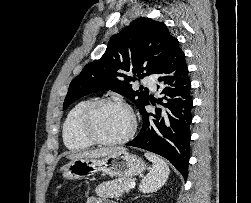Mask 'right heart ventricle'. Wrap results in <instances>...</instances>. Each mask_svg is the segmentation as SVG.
<instances>
[{
    "label": "right heart ventricle",
    "instance_id": "right-heart-ventricle-1",
    "mask_svg": "<svg viewBox=\"0 0 251 203\" xmlns=\"http://www.w3.org/2000/svg\"><path fill=\"white\" fill-rule=\"evenodd\" d=\"M90 103L82 100L76 103L67 113L62 125V138L65 146L71 151H82L91 147L92 143L83 138L78 130L79 117Z\"/></svg>",
    "mask_w": 251,
    "mask_h": 203
}]
</instances>
